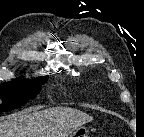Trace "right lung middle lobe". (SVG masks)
<instances>
[{
    "label": "right lung middle lobe",
    "instance_id": "1",
    "mask_svg": "<svg viewBox=\"0 0 144 137\" xmlns=\"http://www.w3.org/2000/svg\"><path fill=\"white\" fill-rule=\"evenodd\" d=\"M48 77L43 76L32 80H19L0 85V97L3 103L0 111H8L22 106L27 100L35 97Z\"/></svg>",
    "mask_w": 144,
    "mask_h": 137
}]
</instances>
